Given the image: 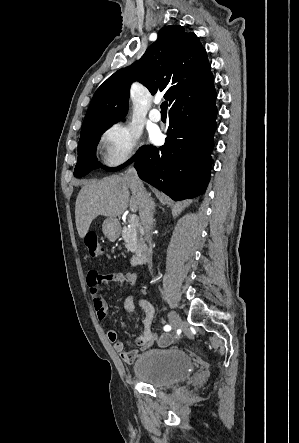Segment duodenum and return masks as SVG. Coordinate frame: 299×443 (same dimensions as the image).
I'll list each match as a JSON object with an SVG mask.
<instances>
[{"label": "duodenum", "mask_w": 299, "mask_h": 443, "mask_svg": "<svg viewBox=\"0 0 299 443\" xmlns=\"http://www.w3.org/2000/svg\"><path fill=\"white\" fill-rule=\"evenodd\" d=\"M147 253H148V247L145 243L138 246L131 258L130 261L131 265L138 266L144 264L146 262Z\"/></svg>", "instance_id": "1"}]
</instances>
